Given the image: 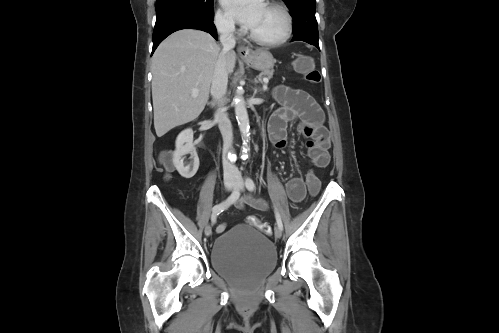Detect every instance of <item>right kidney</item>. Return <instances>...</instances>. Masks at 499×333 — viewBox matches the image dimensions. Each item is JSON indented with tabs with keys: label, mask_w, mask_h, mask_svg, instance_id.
I'll return each instance as SVG.
<instances>
[{
	"label": "right kidney",
	"mask_w": 499,
	"mask_h": 333,
	"mask_svg": "<svg viewBox=\"0 0 499 333\" xmlns=\"http://www.w3.org/2000/svg\"><path fill=\"white\" fill-rule=\"evenodd\" d=\"M191 155V163L185 165L184 156ZM173 164L179 174L184 178H192L199 168V158L193 144V130H183L176 139V149L173 153Z\"/></svg>",
	"instance_id": "right-kidney-1"
}]
</instances>
